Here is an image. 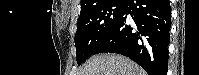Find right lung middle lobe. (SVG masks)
<instances>
[{
    "label": "right lung middle lobe",
    "instance_id": "obj_1",
    "mask_svg": "<svg viewBox=\"0 0 199 75\" xmlns=\"http://www.w3.org/2000/svg\"><path fill=\"white\" fill-rule=\"evenodd\" d=\"M127 0H104L81 11L75 34L76 60L91 56L121 18Z\"/></svg>",
    "mask_w": 199,
    "mask_h": 75
}]
</instances>
